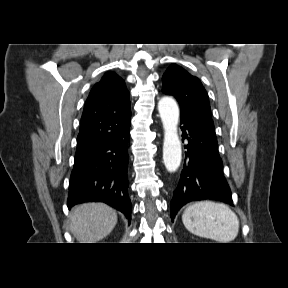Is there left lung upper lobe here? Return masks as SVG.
Instances as JSON below:
<instances>
[{"label":"left lung upper lobe","mask_w":288,"mask_h":288,"mask_svg":"<svg viewBox=\"0 0 288 288\" xmlns=\"http://www.w3.org/2000/svg\"><path fill=\"white\" fill-rule=\"evenodd\" d=\"M162 82V92L173 95L179 102L181 117L198 121L215 135L209 98L200 80L172 64L164 73Z\"/></svg>","instance_id":"1"}]
</instances>
